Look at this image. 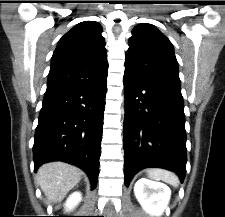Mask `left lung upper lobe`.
<instances>
[{"label": "left lung upper lobe", "mask_w": 225, "mask_h": 217, "mask_svg": "<svg viewBox=\"0 0 225 217\" xmlns=\"http://www.w3.org/2000/svg\"><path fill=\"white\" fill-rule=\"evenodd\" d=\"M132 34L125 71L147 81L180 87L178 63L169 39L147 23L137 25Z\"/></svg>", "instance_id": "1"}]
</instances>
